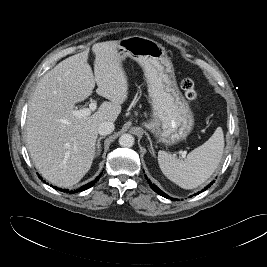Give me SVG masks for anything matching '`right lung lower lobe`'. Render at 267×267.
<instances>
[{
  "label": "right lung lower lobe",
  "mask_w": 267,
  "mask_h": 267,
  "mask_svg": "<svg viewBox=\"0 0 267 267\" xmlns=\"http://www.w3.org/2000/svg\"><path fill=\"white\" fill-rule=\"evenodd\" d=\"M100 176H101V175H99L94 181H91L90 183H88V184L82 186L81 188H79V189H77V190L69 191L68 189H67V190H65V189L62 190V189H59V188H57V187H53V188L58 189V190L63 191V192H67V193H68V192H69V193H75V192L84 191V190H87V189H89L90 187H92V186L96 183V181L99 180ZM39 178L42 179L40 176H39Z\"/></svg>",
  "instance_id": "1"
}]
</instances>
